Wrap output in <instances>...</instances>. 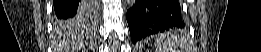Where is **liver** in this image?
<instances>
[{"mask_svg":"<svg viewBox=\"0 0 261 52\" xmlns=\"http://www.w3.org/2000/svg\"><path fill=\"white\" fill-rule=\"evenodd\" d=\"M59 26V25H58ZM60 28H64L63 26H59Z\"/></svg>","mask_w":261,"mask_h":52,"instance_id":"liver-1","label":"liver"}]
</instances>
